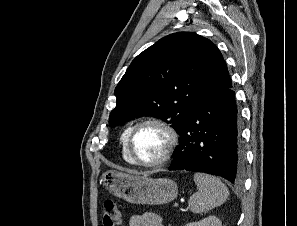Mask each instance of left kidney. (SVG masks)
Instances as JSON below:
<instances>
[{
    "mask_svg": "<svg viewBox=\"0 0 297 226\" xmlns=\"http://www.w3.org/2000/svg\"><path fill=\"white\" fill-rule=\"evenodd\" d=\"M185 226H222L220 219L216 216H209L197 222L187 223Z\"/></svg>",
    "mask_w": 297,
    "mask_h": 226,
    "instance_id": "obj_1",
    "label": "left kidney"
}]
</instances>
